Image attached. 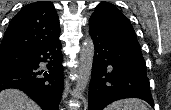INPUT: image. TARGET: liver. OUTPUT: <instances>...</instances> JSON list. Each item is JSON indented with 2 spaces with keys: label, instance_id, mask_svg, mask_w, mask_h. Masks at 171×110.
<instances>
[{
  "label": "liver",
  "instance_id": "obj_1",
  "mask_svg": "<svg viewBox=\"0 0 171 110\" xmlns=\"http://www.w3.org/2000/svg\"><path fill=\"white\" fill-rule=\"evenodd\" d=\"M0 110H40L26 94L16 89L0 92Z\"/></svg>",
  "mask_w": 171,
  "mask_h": 110
}]
</instances>
